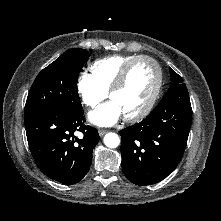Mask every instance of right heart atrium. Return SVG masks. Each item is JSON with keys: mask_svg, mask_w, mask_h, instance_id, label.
I'll list each match as a JSON object with an SVG mask.
<instances>
[{"mask_svg": "<svg viewBox=\"0 0 221 221\" xmlns=\"http://www.w3.org/2000/svg\"><path fill=\"white\" fill-rule=\"evenodd\" d=\"M77 91L83 104L90 108H95L107 97V93L87 73H82L78 77Z\"/></svg>", "mask_w": 221, "mask_h": 221, "instance_id": "obj_1", "label": "right heart atrium"}]
</instances>
